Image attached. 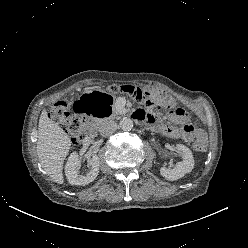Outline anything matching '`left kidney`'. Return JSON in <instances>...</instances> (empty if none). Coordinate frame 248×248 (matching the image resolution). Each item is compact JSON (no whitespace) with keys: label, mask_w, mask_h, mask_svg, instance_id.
<instances>
[{"label":"left kidney","mask_w":248,"mask_h":248,"mask_svg":"<svg viewBox=\"0 0 248 248\" xmlns=\"http://www.w3.org/2000/svg\"><path fill=\"white\" fill-rule=\"evenodd\" d=\"M176 149L181 153L182 161L178 162L173 169L161 167L160 174L167 180H178L194 168V158L191 150L183 144H177Z\"/></svg>","instance_id":"1"}]
</instances>
